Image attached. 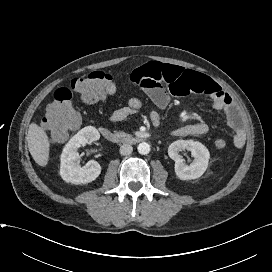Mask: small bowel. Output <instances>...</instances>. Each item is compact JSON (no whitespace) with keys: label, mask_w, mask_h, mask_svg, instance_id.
<instances>
[{"label":"small bowel","mask_w":272,"mask_h":272,"mask_svg":"<svg viewBox=\"0 0 272 272\" xmlns=\"http://www.w3.org/2000/svg\"><path fill=\"white\" fill-rule=\"evenodd\" d=\"M130 80L142 89L160 109H165L173 96H186L197 93L208 97L216 110L226 117L228 126L233 130V145L240 149L246 142V132L242 126L240 114L231 96L209 77L171 64L147 62L135 68L130 74ZM136 111L125 106L115 110L110 120L120 122ZM150 119L154 125L160 122L157 110H151ZM209 131L205 122L190 123L174 129V137L200 136Z\"/></svg>","instance_id":"small-bowel-1"}]
</instances>
